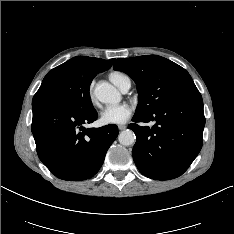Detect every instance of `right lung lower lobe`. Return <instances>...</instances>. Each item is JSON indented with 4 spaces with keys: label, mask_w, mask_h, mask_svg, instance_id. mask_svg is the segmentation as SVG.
Listing matches in <instances>:
<instances>
[{
    "label": "right lung lower lobe",
    "mask_w": 234,
    "mask_h": 234,
    "mask_svg": "<svg viewBox=\"0 0 234 234\" xmlns=\"http://www.w3.org/2000/svg\"><path fill=\"white\" fill-rule=\"evenodd\" d=\"M31 130L42 163L56 177L80 181L93 177L101 168L107 150L118 136V127L84 128L94 122L96 110H74L60 104L32 106Z\"/></svg>",
    "instance_id": "obj_1"
}]
</instances>
